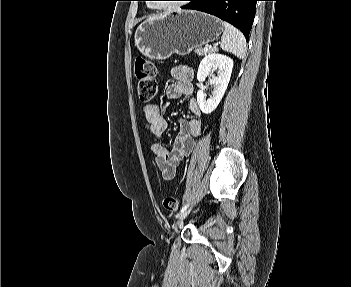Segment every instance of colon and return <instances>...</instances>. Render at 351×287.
<instances>
[{"label":"colon","mask_w":351,"mask_h":287,"mask_svg":"<svg viewBox=\"0 0 351 287\" xmlns=\"http://www.w3.org/2000/svg\"><path fill=\"white\" fill-rule=\"evenodd\" d=\"M135 75L138 80V96L141 102H150L157 93L156 68L155 65L144 57H137L134 63ZM166 211L176 212L179 203L176 197L166 196L163 200Z\"/></svg>","instance_id":"obj_1"}]
</instances>
